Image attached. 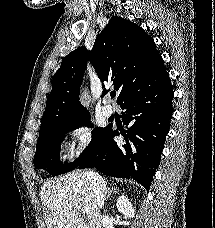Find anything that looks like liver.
<instances>
[{
    "label": "liver",
    "mask_w": 215,
    "mask_h": 228,
    "mask_svg": "<svg viewBox=\"0 0 215 228\" xmlns=\"http://www.w3.org/2000/svg\"><path fill=\"white\" fill-rule=\"evenodd\" d=\"M40 198L47 228H102L96 196L85 174L70 172L46 180Z\"/></svg>",
    "instance_id": "6515ba94"
}]
</instances>
